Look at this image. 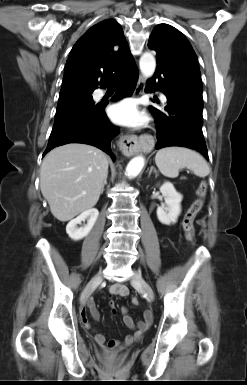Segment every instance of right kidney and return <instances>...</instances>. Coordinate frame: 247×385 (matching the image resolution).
Masks as SVG:
<instances>
[{
  "mask_svg": "<svg viewBox=\"0 0 247 385\" xmlns=\"http://www.w3.org/2000/svg\"><path fill=\"white\" fill-rule=\"evenodd\" d=\"M99 212L96 208L88 209L82 212L78 217L71 220L66 226V233L72 240H81L86 237L92 230ZM87 220V224L83 227L78 228L77 224H81L82 221Z\"/></svg>",
  "mask_w": 247,
  "mask_h": 385,
  "instance_id": "1",
  "label": "right kidney"
}]
</instances>
